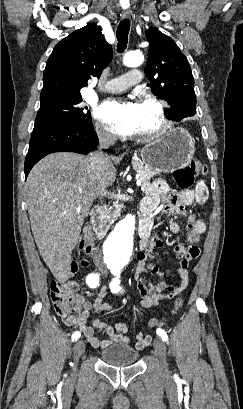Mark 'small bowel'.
Segmentation results:
<instances>
[{
	"instance_id": "c3829d8e",
	"label": "small bowel",
	"mask_w": 243,
	"mask_h": 409,
	"mask_svg": "<svg viewBox=\"0 0 243 409\" xmlns=\"http://www.w3.org/2000/svg\"><path fill=\"white\" fill-rule=\"evenodd\" d=\"M146 198L143 201L142 208L153 213L159 210L161 214L176 213L181 214L188 219L187 240L189 246L178 244L174 247V252L180 263L176 269L181 281L177 284H168L164 278L165 274L160 272L159 268L153 264L155 247H161L162 241L155 235H151L146 241L141 242V251L138 254V263L135 269V279L137 288L141 297V306L148 308L157 306L163 301L170 300L181 293L189 283V263L198 258L200 248L197 243L201 235L206 232V223L192 214L188 207L204 202L208 196V189L203 181H199L194 188L180 193H174L169 186L161 180L156 181L152 186L145 187ZM172 233H178L180 226L177 222H172L169 226ZM142 274L159 276V280L145 278ZM167 291L164 293V291ZM108 290L102 288L94 300L91 302L82 295H75L74 301L82 310L76 325L86 337L88 343L94 349H104L113 343L129 344L131 338L128 335L129 325L126 322L118 321L111 326L99 318L93 320L92 326L88 325V319L95 313H107L112 310L110 303L106 301ZM95 331L105 333L107 338L100 340L95 336ZM151 342L149 335L138 334L136 336L135 347L138 350L144 349Z\"/></svg>"
}]
</instances>
